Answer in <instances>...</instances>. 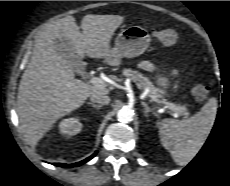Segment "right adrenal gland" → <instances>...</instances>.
<instances>
[{
	"mask_svg": "<svg viewBox=\"0 0 230 186\" xmlns=\"http://www.w3.org/2000/svg\"><path fill=\"white\" fill-rule=\"evenodd\" d=\"M88 105H90V106L96 108L97 110H99V109L102 107V105H96V104L91 103V102H88Z\"/></svg>",
	"mask_w": 230,
	"mask_h": 186,
	"instance_id": "1",
	"label": "right adrenal gland"
}]
</instances>
